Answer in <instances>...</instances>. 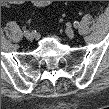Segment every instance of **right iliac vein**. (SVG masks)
Here are the masks:
<instances>
[{
	"instance_id": "1",
	"label": "right iliac vein",
	"mask_w": 109,
	"mask_h": 109,
	"mask_svg": "<svg viewBox=\"0 0 109 109\" xmlns=\"http://www.w3.org/2000/svg\"><path fill=\"white\" fill-rule=\"evenodd\" d=\"M25 37L29 40L32 41L35 38V35L31 32H29L28 34L25 35Z\"/></svg>"
}]
</instances>
